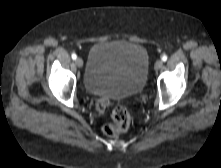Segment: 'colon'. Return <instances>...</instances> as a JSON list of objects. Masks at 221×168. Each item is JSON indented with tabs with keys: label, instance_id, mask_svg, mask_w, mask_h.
Returning a JSON list of instances; mask_svg holds the SVG:
<instances>
[{
	"label": "colon",
	"instance_id": "colon-1",
	"mask_svg": "<svg viewBox=\"0 0 221 168\" xmlns=\"http://www.w3.org/2000/svg\"><path fill=\"white\" fill-rule=\"evenodd\" d=\"M108 105V100L100 98L97 101V109L104 112ZM112 122L104 126L103 131L107 136L114 137L125 131L131 120V113L128 108L123 104H118L112 110Z\"/></svg>",
	"mask_w": 221,
	"mask_h": 168
}]
</instances>
